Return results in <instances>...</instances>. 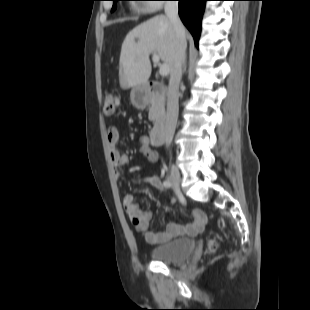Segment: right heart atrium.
Wrapping results in <instances>:
<instances>
[{"label": "right heart atrium", "instance_id": "right-heart-atrium-1", "mask_svg": "<svg viewBox=\"0 0 310 310\" xmlns=\"http://www.w3.org/2000/svg\"><path fill=\"white\" fill-rule=\"evenodd\" d=\"M148 1H153V4H149L147 6V9L150 11H155V10H159L161 8V4L159 3L158 0H148Z\"/></svg>", "mask_w": 310, "mask_h": 310}]
</instances>
